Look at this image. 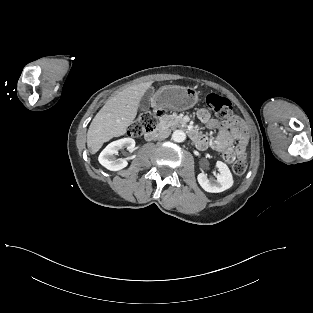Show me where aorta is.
<instances>
[{
  "label": "aorta",
  "instance_id": "762f6f07",
  "mask_svg": "<svg viewBox=\"0 0 313 313\" xmlns=\"http://www.w3.org/2000/svg\"><path fill=\"white\" fill-rule=\"evenodd\" d=\"M172 139L175 142H183L186 139V134L182 130H175L172 134Z\"/></svg>",
  "mask_w": 313,
  "mask_h": 313
}]
</instances>
